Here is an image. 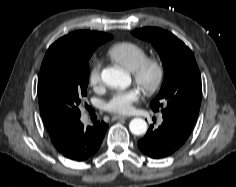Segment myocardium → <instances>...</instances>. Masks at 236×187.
Returning <instances> with one entry per match:
<instances>
[{
  "label": "myocardium",
  "instance_id": "myocardium-1",
  "mask_svg": "<svg viewBox=\"0 0 236 187\" xmlns=\"http://www.w3.org/2000/svg\"><path fill=\"white\" fill-rule=\"evenodd\" d=\"M134 82L147 96L157 93L164 84L166 70L163 62L156 57H146L132 71ZM153 73L152 80H148Z\"/></svg>",
  "mask_w": 236,
  "mask_h": 187
}]
</instances>
